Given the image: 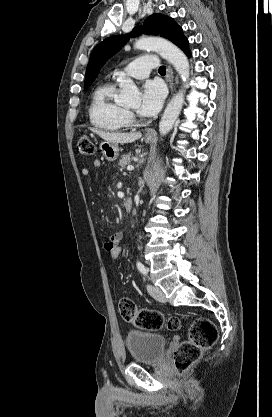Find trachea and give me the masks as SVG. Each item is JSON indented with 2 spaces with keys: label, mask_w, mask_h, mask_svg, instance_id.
I'll use <instances>...</instances> for the list:
<instances>
[{
  "label": "trachea",
  "mask_w": 272,
  "mask_h": 417,
  "mask_svg": "<svg viewBox=\"0 0 272 417\" xmlns=\"http://www.w3.org/2000/svg\"><path fill=\"white\" fill-rule=\"evenodd\" d=\"M159 73L165 74L166 73V67L165 66H161L159 68Z\"/></svg>",
  "instance_id": "trachea-1"
}]
</instances>
